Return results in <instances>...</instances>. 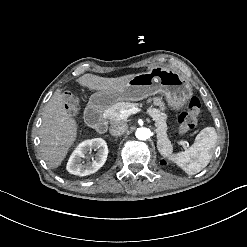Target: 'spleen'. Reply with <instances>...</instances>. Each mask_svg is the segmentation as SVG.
Returning <instances> with one entry per match:
<instances>
[{
    "label": "spleen",
    "instance_id": "3e777b00",
    "mask_svg": "<svg viewBox=\"0 0 247 247\" xmlns=\"http://www.w3.org/2000/svg\"><path fill=\"white\" fill-rule=\"evenodd\" d=\"M217 143V133L214 127H206L196 136L194 144L175 155H167L189 175L199 173L212 158V150Z\"/></svg>",
    "mask_w": 247,
    "mask_h": 247
}]
</instances>
